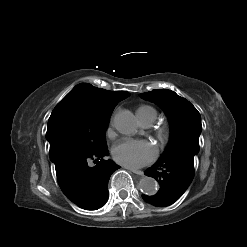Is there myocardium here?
Wrapping results in <instances>:
<instances>
[{"mask_svg":"<svg viewBox=\"0 0 247 247\" xmlns=\"http://www.w3.org/2000/svg\"><path fill=\"white\" fill-rule=\"evenodd\" d=\"M157 134L161 139H166L169 136V128L167 126H162L157 130Z\"/></svg>","mask_w":247,"mask_h":247,"instance_id":"myocardium-1","label":"myocardium"}]
</instances>
